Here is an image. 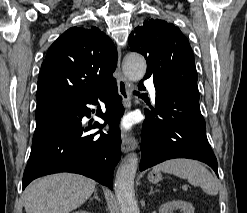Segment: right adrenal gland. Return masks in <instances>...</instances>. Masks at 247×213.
Returning <instances> with one entry per match:
<instances>
[{
    "mask_svg": "<svg viewBox=\"0 0 247 213\" xmlns=\"http://www.w3.org/2000/svg\"><path fill=\"white\" fill-rule=\"evenodd\" d=\"M94 198H95L96 200L100 201V198L98 197V194H97V190L94 191V196L91 197V198L89 199V201L91 202Z\"/></svg>",
    "mask_w": 247,
    "mask_h": 213,
    "instance_id": "1",
    "label": "right adrenal gland"
}]
</instances>
